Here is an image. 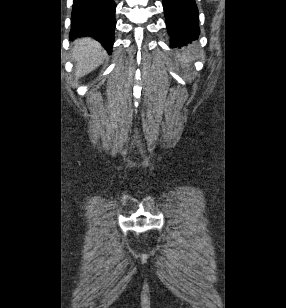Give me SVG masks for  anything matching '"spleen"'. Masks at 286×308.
<instances>
[{
	"mask_svg": "<svg viewBox=\"0 0 286 308\" xmlns=\"http://www.w3.org/2000/svg\"><path fill=\"white\" fill-rule=\"evenodd\" d=\"M178 60L181 62V64L186 65L189 61L192 60L191 56L188 54L183 53L182 55H178Z\"/></svg>",
	"mask_w": 286,
	"mask_h": 308,
	"instance_id": "obj_1",
	"label": "spleen"
}]
</instances>
